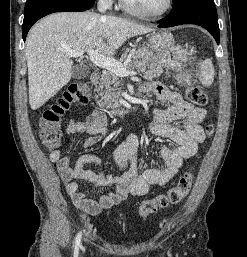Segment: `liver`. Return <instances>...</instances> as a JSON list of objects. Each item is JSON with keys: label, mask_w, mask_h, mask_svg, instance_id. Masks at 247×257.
Segmentation results:
<instances>
[{"label": "liver", "mask_w": 247, "mask_h": 257, "mask_svg": "<svg viewBox=\"0 0 247 257\" xmlns=\"http://www.w3.org/2000/svg\"><path fill=\"white\" fill-rule=\"evenodd\" d=\"M150 31L136 22L91 11L54 13L43 18L26 40L31 109L40 108L71 80L73 60L66 49H95L111 57L127 39Z\"/></svg>", "instance_id": "6515ba94"}]
</instances>
